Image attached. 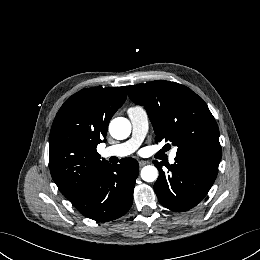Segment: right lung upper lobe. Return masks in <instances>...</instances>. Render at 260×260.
I'll list each match as a JSON object with an SVG mask.
<instances>
[{"mask_svg": "<svg viewBox=\"0 0 260 260\" xmlns=\"http://www.w3.org/2000/svg\"><path fill=\"white\" fill-rule=\"evenodd\" d=\"M126 97L127 86L83 89L58 111L50 132L49 166L57 187L71 202L107 163L100 160L96 147L106 140L109 121Z\"/></svg>", "mask_w": 260, "mask_h": 260, "instance_id": "1", "label": "right lung upper lobe"}]
</instances>
